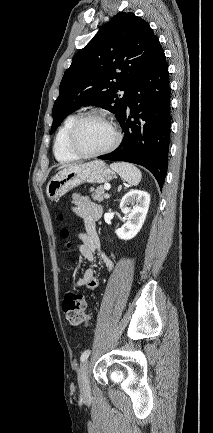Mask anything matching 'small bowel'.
Instances as JSON below:
<instances>
[{
  "label": "small bowel",
  "instance_id": "c3829d8e",
  "mask_svg": "<svg viewBox=\"0 0 213 433\" xmlns=\"http://www.w3.org/2000/svg\"><path fill=\"white\" fill-rule=\"evenodd\" d=\"M73 212L84 222L85 230L77 233L80 242L76 250L89 262L81 278L72 282L73 288L85 286L94 290L98 286V278L95 275V259L99 256L104 262L108 271L113 269L112 260L100 250V241L95 228V220L101 214V207L88 198L79 195L73 196Z\"/></svg>",
  "mask_w": 213,
  "mask_h": 433
}]
</instances>
